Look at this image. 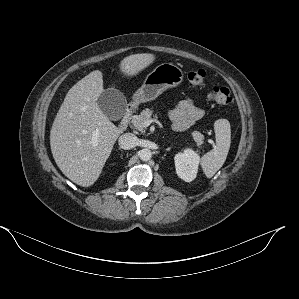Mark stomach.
I'll return each instance as SVG.
<instances>
[{
  "mask_svg": "<svg viewBox=\"0 0 299 299\" xmlns=\"http://www.w3.org/2000/svg\"><path fill=\"white\" fill-rule=\"evenodd\" d=\"M183 78V71L175 64L158 65L147 75L142 86L133 95V104L139 105L154 100L166 89L179 86Z\"/></svg>",
  "mask_w": 299,
  "mask_h": 299,
  "instance_id": "0dacf381",
  "label": "stomach"
}]
</instances>
